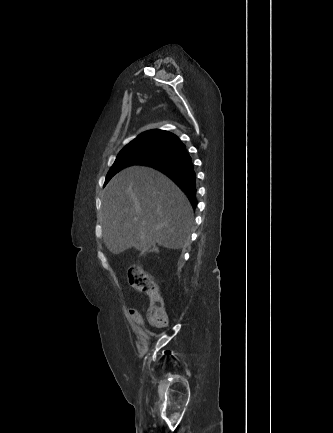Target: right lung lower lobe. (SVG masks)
Wrapping results in <instances>:
<instances>
[{
    "mask_svg": "<svg viewBox=\"0 0 333 433\" xmlns=\"http://www.w3.org/2000/svg\"><path fill=\"white\" fill-rule=\"evenodd\" d=\"M164 146L172 151L165 157L143 165L156 168L166 174L188 195L192 206L196 207V173L186 146L175 138L167 141Z\"/></svg>",
    "mask_w": 333,
    "mask_h": 433,
    "instance_id": "98d812e1",
    "label": "right lung lower lobe"
}]
</instances>
